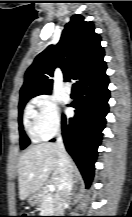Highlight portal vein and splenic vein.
Masks as SVG:
<instances>
[{"mask_svg": "<svg viewBox=\"0 0 132 217\" xmlns=\"http://www.w3.org/2000/svg\"><path fill=\"white\" fill-rule=\"evenodd\" d=\"M48 188H49V191H50V192L55 191V186L52 185V184H50V185L48 186Z\"/></svg>", "mask_w": 132, "mask_h": 217, "instance_id": "portal-vein-and-splenic-vein-1", "label": "portal vein and splenic vein"}]
</instances>
